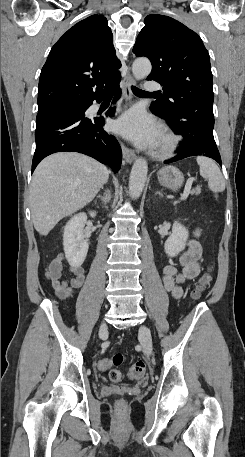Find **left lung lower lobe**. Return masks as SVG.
<instances>
[{"instance_id": "left-lung-lower-lobe-1", "label": "left lung lower lobe", "mask_w": 245, "mask_h": 457, "mask_svg": "<svg viewBox=\"0 0 245 457\" xmlns=\"http://www.w3.org/2000/svg\"><path fill=\"white\" fill-rule=\"evenodd\" d=\"M150 110L153 114L162 117L152 104ZM170 128L183 136L180 143V152L174 158L165 161V164L175 162L190 156H206L216 160L221 165V157L213 137L214 115L213 112L195 111L165 119Z\"/></svg>"}]
</instances>
